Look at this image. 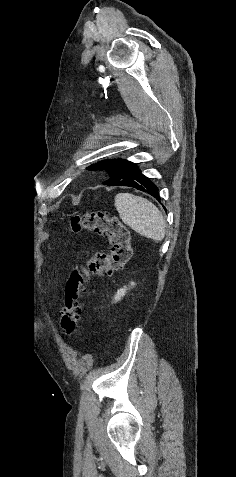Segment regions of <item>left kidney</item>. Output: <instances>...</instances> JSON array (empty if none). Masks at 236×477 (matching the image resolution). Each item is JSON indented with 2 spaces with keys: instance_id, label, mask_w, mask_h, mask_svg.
Returning <instances> with one entry per match:
<instances>
[{
  "instance_id": "5707ae66",
  "label": "left kidney",
  "mask_w": 236,
  "mask_h": 477,
  "mask_svg": "<svg viewBox=\"0 0 236 477\" xmlns=\"http://www.w3.org/2000/svg\"><path fill=\"white\" fill-rule=\"evenodd\" d=\"M131 286L134 287L135 286V283L134 282H131ZM128 290V288L126 286H124L123 288L119 289L114 297V301L115 302H118L121 300V298L123 296H125L126 294V291Z\"/></svg>"
}]
</instances>
